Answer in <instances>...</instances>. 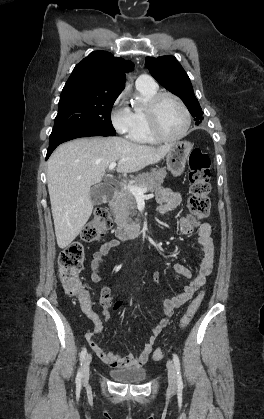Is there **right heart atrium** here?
<instances>
[{"label":"right heart atrium","mask_w":264,"mask_h":419,"mask_svg":"<svg viewBox=\"0 0 264 419\" xmlns=\"http://www.w3.org/2000/svg\"><path fill=\"white\" fill-rule=\"evenodd\" d=\"M122 100V94L115 100L111 110V122L118 133L128 134L132 123L131 113L129 109L121 106Z\"/></svg>","instance_id":"1"}]
</instances>
